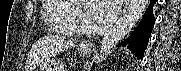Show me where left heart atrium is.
<instances>
[{
	"label": "left heart atrium",
	"mask_w": 181,
	"mask_h": 71,
	"mask_svg": "<svg viewBox=\"0 0 181 71\" xmlns=\"http://www.w3.org/2000/svg\"><path fill=\"white\" fill-rule=\"evenodd\" d=\"M121 1L119 0H102L90 2L88 6L89 17L99 23L108 24L112 22L120 10Z\"/></svg>",
	"instance_id": "left-heart-atrium-1"
}]
</instances>
